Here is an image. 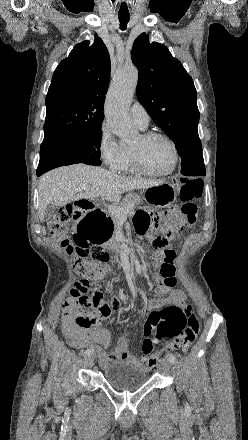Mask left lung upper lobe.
Returning <instances> with one entry per match:
<instances>
[{"mask_svg":"<svg viewBox=\"0 0 248 440\" xmlns=\"http://www.w3.org/2000/svg\"><path fill=\"white\" fill-rule=\"evenodd\" d=\"M132 61L139 69L137 97L153 121L174 140L181 156V173L205 175L198 135L200 113L192 78L179 60L142 33L134 41Z\"/></svg>","mask_w":248,"mask_h":440,"instance_id":"1","label":"left lung upper lobe"}]
</instances>
